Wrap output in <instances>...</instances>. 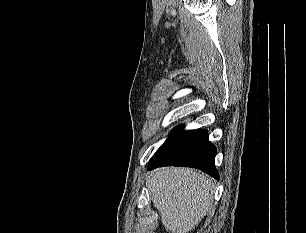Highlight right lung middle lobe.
<instances>
[{"label":"right lung middle lobe","mask_w":306,"mask_h":233,"mask_svg":"<svg viewBox=\"0 0 306 233\" xmlns=\"http://www.w3.org/2000/svg\"><path fill=\"white\" fill-rule=\"evenodd\" d=\"M184 131L182 127L175 128L172 133L170 134L169 138L164 142V144L155 152V154L150 159L153 160L156 158L160 153H162L176 138Z\"/></svg>","instance_id":"dd1d6c3e"}]
</instances>
